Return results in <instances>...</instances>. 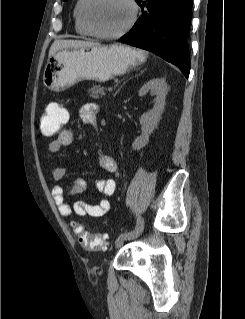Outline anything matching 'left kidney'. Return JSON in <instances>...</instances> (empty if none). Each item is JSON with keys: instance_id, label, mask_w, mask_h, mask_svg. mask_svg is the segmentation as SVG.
Masks as SVG:
<instances>
[{"instance_id": "obj_1", "label": "left kidney", "mask_w": 245, "mask_h": 319, "mask_svg": "<svg viewBox=\"0 0 245 319\" xmlns=\"http://www.w3.org/2000/svg\"><path fill=\"white\" fill-rule=\"evenodd\" d=\"M150 91L151 95H155L154 107L151 111L144 113L140 117L142 125V134L135 140L134 149L143 148L149 141L150 134L154 131L161 117L165 106L167 94V85L164 79L156 78L146 82L139 90V96H144Z\"/></svg>"}]
</instances>
